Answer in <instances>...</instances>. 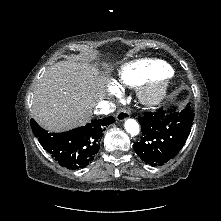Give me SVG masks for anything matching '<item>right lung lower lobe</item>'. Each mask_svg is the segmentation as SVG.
<instances>
[{"mask_svg":"<svg viewBox=\"0 0 221 221\" xmlns=\"http://www.w3.org/2000/svg\"><path fill=\"white\" fill-rule=\"evenodd\" d=\"M114 120L112 116L96 119L64 133H48L33 119L30 124L34 135L52 158L68 169H80L93 161L100 149L103 131Z\"/></svg>","mask_w":221,"mask_h":221,"instance_id":"right-lung-lower-lobe-1","label":"right lung lower lobe"}]
</instances>
